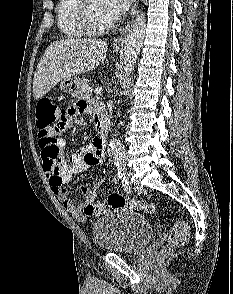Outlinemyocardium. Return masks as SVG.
<instances>
[{
    "label": "myocardium",
    "mask_w": 233,
    "mask_h": 294,
    "mask_svg": "<svg viewBox=\"0 0 233 294\" xmlns=\"http://www.w3.org/2000/svg\"><path fill=\"white\" fill-rule=\"evenodd\" d=\"M79 17L83 27L91 35H100L114 27L115 21L106 24H98L93 16L91 0H81Z\"/></svg>",
    "instance_id": "f54148a6"
}]
</instances>
